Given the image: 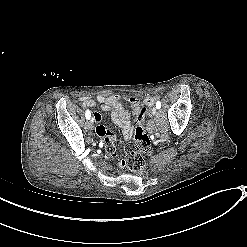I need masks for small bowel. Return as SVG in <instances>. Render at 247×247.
<instances>
[{
    "label": "small bowel",
    "mask_w": 247,
    "mask_h": 247,
    "mask_svg": "<svg viewBox=\"0 0 247 247\" xmlns=\"http://www.w3.org/2000/svg\"><path fill=\"white\" fill-rule=\"evenodd\" d=\"M158 100L157 96H147L142 101L135 97H128L127 102L132 105V110L138 112L140 110L139 105L151 106ZM80 106L82 108L94 107L95 105H100L101 109L106 112H110L111 118L115 124H117L124 136L128 139L132 134V126L130 123V113L124 108L123 99L118 95L104 96L97 95L96 97L91 96H82L79 98ZM91 116L97 124L96 132L99 137L105 138V148L109 151H112L114 145L119 143V140L114 136L112 130L105 129L106 123L102 119V114L98 111H91ZM95 116V117H94ZM111 158H114L113 152H110ZM115 168H118V163L116 160H113Z\"/></svg>",
    "instance_id": "c3829d8e"
}]
</instances>
